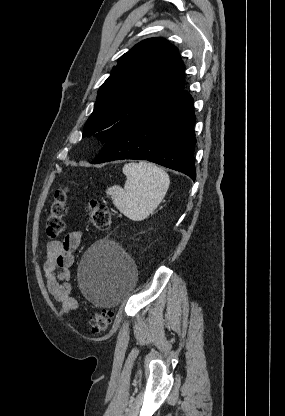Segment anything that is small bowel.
<instances>
[{
	"label": "small bowel",
	"instance_id": "c3829d8e",
	"mask_svg": "<svg viewBox=\"0 0 285 416\" xmlns=\"http://www.w3.org/2000/svg\"><path fill=\"white\" fill-rule=\"evenodd\" d=\"M82 232L68 233L63 240L51 241L46 246L43 264L44 277L50 296L59 304V313L65 315L75 311L77 300L71 295L70 268L74 252L82 240Z\"/></svg>",
	"mask_w": 285,
	"mask_h": 416
}]
</instances>
